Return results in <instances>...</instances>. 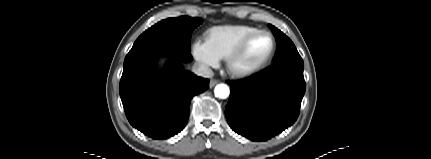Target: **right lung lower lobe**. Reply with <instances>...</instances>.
I'll list each match as a JSON object with an SVG mask.
<instances>
[{
    "instance_id": "1",
    "label": "right lung lower lobe",
    "mask_w": 431,
    "mask_h": 159,
    "mask_svg": "<svg viewBox=\"0 0 431 159\" xmlns=\"http://www.w3.org/2000/svg\"><path fill=\"white\" fill-rule=\"evenodd\" d=\"M169 55L164 70L159 57ZM187 50L169 42H149L132 47L124 61L120 97L130 124L153 139H168L181 132L189 117L190 102L208 88L209 80L184 70Z\"/></svg>"
}]
</instances>
